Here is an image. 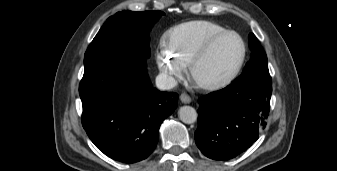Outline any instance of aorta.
Segmentation results:
<instances>
[{"label":"aorta","mask_w":337,"mask_h":171,"mask_svg":"<svg viewBox=\"0 0 337 171\" xmlns=\"http://www.w3.org/2000/svg\"><path fill=\"white\" fill-rule=\"evenodd\" d=\"M179 118L186 124H192L197 120V112L191 106H183L178 112Z\"/></svg>","instance_id":"obj_1"}]
</instances>
